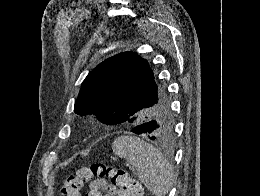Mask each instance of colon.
Returning <instances> with one entry per match:
<instances>
[{
  "mask_svg": "<svg viewBox=\"0 0 260 196\" xmlns=\"http://www.w3.org/2000/svg\"><path fill=\"white\" fill-rule=\"evenodd\" d=\"M107 180L118 191L128 190L133 181L123 168H114L102 163L82 166L76 172L68 174L61 185V196H81L84 185L88 182L97 183Z\"/></svg>",
  "mask_w": 260,
  "mask_h": 196,
  "instance_id": "5ec220e1",
  "label": "colon"
}]
</instances>
